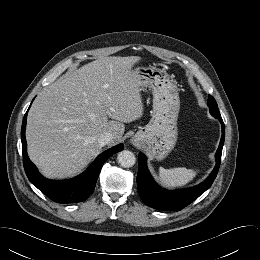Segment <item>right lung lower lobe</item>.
Here are the masks:
<instances>
[{
  "label": "right lung lower lobe",
  "mask_w": 260,
  "mask_h": 260,
  "mask_svg": "<svg viewBox=\"0 0 260 260\" xmlns=\"http://www.w3.org/2000/svg\"><path fill=\"white\" fill-rule=\"evenodd\" d=\"M27 113L24 116L21 128L23 164L28 179L47 197L57 203L68 204L84 201L95 188L97 178L105 161L114 153L123 150V145L119 144L100 154L88 169L81 175L65 180L53 181L44 178L37 170L36 166L27 156V143L25 139Z\"/></svg>",
  "instance_id": "obj_1"
}]
</instances>
